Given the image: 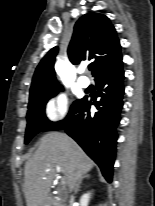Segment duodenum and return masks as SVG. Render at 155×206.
<instances>
[{
  "label": "duodenum",
  "mask_w": 155,
  "mask_h": 206,
  "mask_svg": "<svg viewBox=\"0 0 155 206\" xmlns=\"http://www.w3.org/2000/svg\"><path fill=\"white\" fill-rule=\"evenodd\" d=\"M47 206H61V205L54 197H49L47 199Z\"/></svg>",
  "instance_id": "duodenum-1"
}]
</instances>
